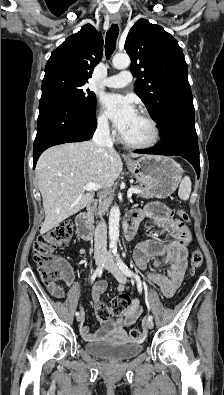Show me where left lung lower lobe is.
Returning <instances> with one entry per match:
<instances>
[{
  "label": "left lung lower lobe",
  "instance_id": "0a47b994",
  "mask_svg": "<svg viewBox=\"0 0 224 395\" xmlns=\"http://www.w3.org/2000/svg\"><path fill=\"white\" fill-rule=\"evenodd\" d=\"M158 129L162 137L159 145L144 150L141 154L178 155L187 159L200 175V161L197 134L195 130V110L193 104L176 106L164 114Z\"/></svg>",
  "mask_w": 224,
  "mask_h": 395
}]
</instances>
